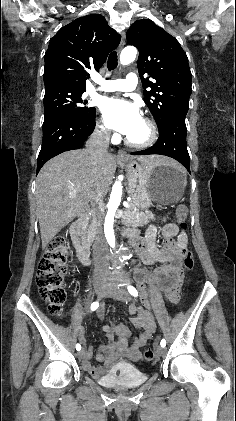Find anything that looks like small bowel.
Segmentation results:
<instances>
[{"instance_id": "c3829d8e", "label": "small bowel", "mask_w": 236, "mask_h": 421, "mask_svg": "<svg viewBox=\"0 0 236 421\" xmlns=\"http://www.w3.org/2000/svg\"><path fill=\"white\" fill-rule=\"evenodd\" d=\"M162 234L164 238L167 240H171L172 238L177 237L178 242L175 245L177 246L179 253L180 254L183 253V251L186 249L187 236L184 231L180 230L179 226L176 223H169L165 225L162 230ZM156 236H157V227L156 225L152 224L148 227L146 231V239L148 243L151 244L155 240ZM140 316L145 321V324H146L145 326L146 338L137 347L142 346L146 342V340L151 337L152 333L154 332V323L151 317L143 312H140ZM114 331L116 333L123 331L124 333H126V336L129 335V331L123 325H115ZM80 339L84 341V338L82 335H80ZM89 351L91 352V350ZM91 355H92V352H91Z\"/></svg>"}]
</instances>
